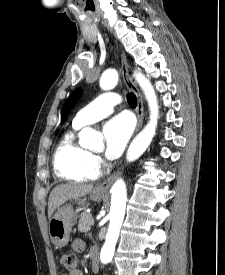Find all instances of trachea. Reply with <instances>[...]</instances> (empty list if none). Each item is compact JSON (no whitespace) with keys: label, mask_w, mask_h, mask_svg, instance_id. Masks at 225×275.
<instances>
[{"label":"trachea","mask_w":225,"mask_h":275,"mask_svg":"<svg viewBox=\"0 0 225 275\" xmlns=\"http://www.w3.org/2000/svg\"><path fill=\"white\" fill-rule=\"evenodd\" d=\"M127 102L131 107H136L137 105V98L135 94L133 93H128L127 94Z\"/></svg>","instance_id":"trachea-1"}]
</instances>
